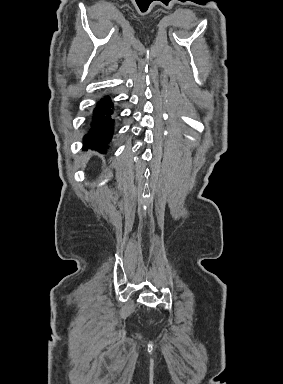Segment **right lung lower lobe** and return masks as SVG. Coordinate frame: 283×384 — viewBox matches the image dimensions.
<instances>
[{
	"instance_id": "1",
	"label": "right lung lower lobe",
	"mask_w": 283,
	"mask_h": 384,
	"mask_svg": "<svg viewBox=\"0 0 283 384\" xmlns=\"http://www.w3.org/2000/svg\"><path fill=\"white\" fill-rule=\"evenodd\" d=\"M112 102L109 97L101 99L93 111L91 128L84 137V150L92 148L101 153L106 152L113 134Z\"/></svg>"
}]
</instances>
